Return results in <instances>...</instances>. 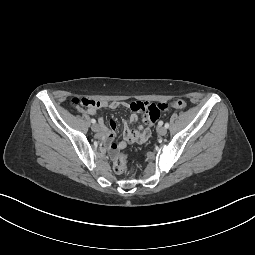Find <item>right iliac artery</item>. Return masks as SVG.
Instances as JSON below:
<instances>
[{"label": "right iliac artery", "instance_id": "1", "mask_svg": "<svg viewBox=\"0 0 255 255\" xmlns=\"http://www.w3.org/2000/svg\"><path fill=\"white\" fill-rule=\"evenodd\" d=\"M91 122H92L93 124H95V123H96V120H95V119H91Z\"/></svg>", "mask_w": 255, "mask_h": 255}]
</instances>
